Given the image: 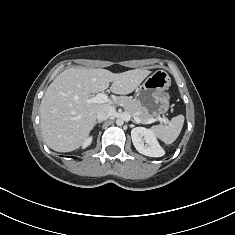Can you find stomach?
<instances>
[{
    "mask_svg": "<svg viewBox=\"0 0 235 235\" xmlns=\"http://www.w3.org/2000/svg\"><path fill=\"white\" fill-rule=\"evenodd\" d=\"M171 79L164 70H157L137 89L135 100L151 115L159 116L169 109V95L166 92Z\"/></svg>",
    "mask_w": 235,
    "mask_h": 235,
    "instance_id": "1",
    "label": "stomach"
}]
</instances>
